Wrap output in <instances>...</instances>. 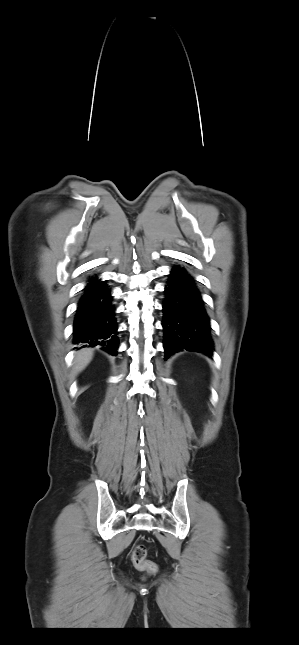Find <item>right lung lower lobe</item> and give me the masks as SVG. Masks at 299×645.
<instances>
[{"label":"right lung lower lobe","instance_id":"98d812e1","mask_svg":"<svg viewBox=\"0 0 299 645\" xmlns=\"http://www.w3.org/2000/svg\"><path fill=\"white\" fill-rule=\"evenodd\" d=\"M113 298L105 281L92 277L83 290L74 320V344L82 347L101 346L102 350L116 356L118 348Z\"/></svg>","mask_w":299,"mask_h":645}]
</instances>
